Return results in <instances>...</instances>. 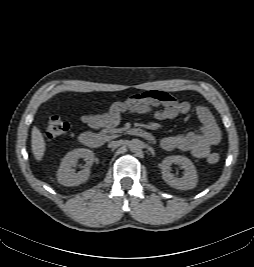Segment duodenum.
Instances as JSON below:
<instances>
[{"label": "duodenum", "instance_id": "1", "mask_svg": "<svg viewBox=\"0 0 254 267\" xmlns=\"http://www.w3.org/2000/svg\"><path fill=\"white\" fill-rule=\"evenodd\" d=\"M127 133L143 138L145 140L151 141L153 140V136L148 131L141 129V128H130L127 130ZM113 137L111 132H103V133H94V132H83L80 135V142L90 148H99L104 145V143Z\"/></svg>", "mask_w": 254, "mask_h": 267}]
</instances>
